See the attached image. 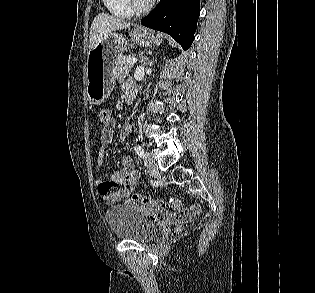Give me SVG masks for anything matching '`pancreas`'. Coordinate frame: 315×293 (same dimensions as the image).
I'll use <instances>...</instances> for the list:
<instances>
[{
	"instance_id": "obj_1",
	"label": "pancreas",
	"mask_w": 315,
	"mask_h": 293,
	"mask_svg": "<svg viewBox=\"0 0 315 293\" xmlns=\"http://www.w3.org/2000/svg\"><path fill=\"white\" fill-rule=\"evenodd\" d=\"M129 57L127 56H121L118 60V66H117V79L119 82H123L126 77L130 76V70L132 68V65L127 64V60Z\"/></svg>"
}]
</instances>
